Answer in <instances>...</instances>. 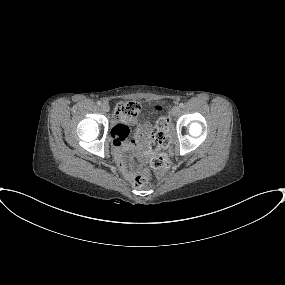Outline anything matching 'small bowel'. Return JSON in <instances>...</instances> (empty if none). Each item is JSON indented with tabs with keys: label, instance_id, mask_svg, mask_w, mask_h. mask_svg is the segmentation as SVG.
<instances>
[{
	"label": "small bowel",
	"instance_id": "obj_1",
	"mask_svg": "<svg viewBox=\"0 0 285 285\" xmlns=\"http://www.w3.org/2000/svg\"><path fill=\"white\" fill-rule=\"evenodd\" d=\"M128 122L127 119L121 118L113 127L111 137L113 139V155L117 159L124 177L128 181H131L135 176V172L130 168V164L125 160L123 153L130 148L139 149L142 146L143 140L149 129V124L138 118L132 119L131 122L137 126V133L126 142L125 140L129 133Z\"/></svg>",
	"mask_w": 285,
	"mask_h": 285
}]
</instances>
